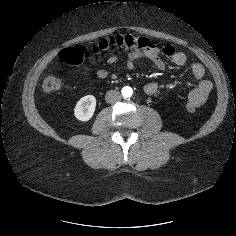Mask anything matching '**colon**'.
<instances>
[{
    "label": "colon",
    "mask_w": 236,
    "mask_h": 236,
    "mask_svg": "<svg viewBox=\"0 0 236 236\" xmlns=\"http://www.w3.org/2000/svg\"><path fill=\"white\" fill-rule=\"evenodd\" d=\"M151 43L147 38L137 37L133 35H114L102 39L92 48H87L82 45H76L63 49L59 54V60L65 64L77 66L91 57L92 54L107 52L111 49H123L132 52H141L150 48ZM43 88L47 92H56L61 88L60 79L49 73L43 80ZM189 111H194L195 108L188 104Z\"/></svg>",
    "instance_id": "5ec220e1"
}]
</instances>
